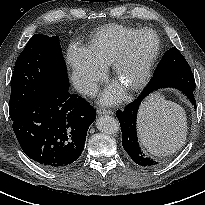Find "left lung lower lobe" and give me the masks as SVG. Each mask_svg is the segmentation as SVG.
Here are the masks:
<instances>
[{"label": "left lung lower lobe", "mask_w": 205, "mask_h": 205, "mask_svg": "<svg viewBox=\"0 0 205 205\" xmlns=\"http://www.w3.org/2000/svg\"><path fill=\"white\" fill-rule=\"evenodd\" d=\"M165 87H173L182 91L196 108V101L193 96L195 89L194 75L192 71H182L153 77L137 99L127 105L123 111L116 113L121 125L123 148L136 164L143 167H151L158 162L146 157L139 148L136 133L139 107L151 92Z\"/></svg>", "instance_id": "1"}]
</instances>
